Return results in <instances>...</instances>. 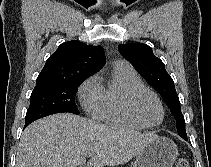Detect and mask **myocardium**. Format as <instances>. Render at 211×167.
Wrapping results in <instances>:
<instances>
[{
    "instance_id": "f54148a6",
    "label": "myocardium",
    "mask_w": 211,
    "mask_h": 167,
    "mask_svg": "<svg viewBox=\"0 0 211 167\" xmlns=\"http://www.w3.org/2000/svg\"><path fill=\"white\" fill-rule=\"evenodd\" d=\"M149 93L151 94L155 100L157 101L159 107H160V110H161V119L160 121L155 124V125H148V124H145L136 114L135 110H134V100L135 98L141 94V93ZM123 107H124V110L126 112V114L135 122L137 123L138 125H140L141 127L143 128H148V129H154V128H157L159 127L163 121H164V118H165V108H164V105L160 99V97L158 96V94L146 87V86H138V87H134L130 90H128L124 97H123Z\"/></svg>"
}]
</instances>
